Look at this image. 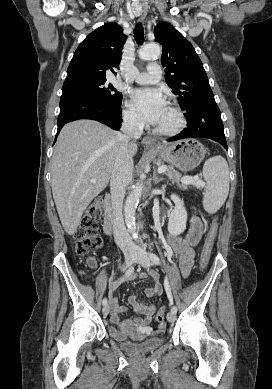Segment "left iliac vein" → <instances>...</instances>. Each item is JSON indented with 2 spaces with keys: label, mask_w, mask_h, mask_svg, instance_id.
Listing matches in <instances>:
<instances>
[{
  "label": "left iliac vein",
  "mask_w": 272,
  "mask_h": 389,
  "mask_svg": "<svg viewBox=\"0 0 272 389\" xmlns=\"http://www.w3.org/2000/svg\"><path fill=\"white\" fill-rule=\"evenodd\" d=\"M134 253H135V262L136 263L140 264L144 268H149L151 266L150 258L145 250H143L141 248H136ZM175 319H176L175 313L169 312L167 314V320L169 322H173Z\"/></svg>",
  "instance_id": "obj_1"
}]
</instances>
